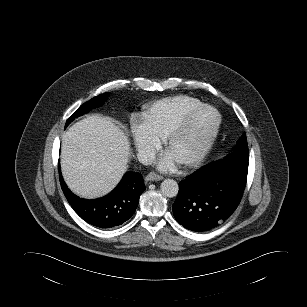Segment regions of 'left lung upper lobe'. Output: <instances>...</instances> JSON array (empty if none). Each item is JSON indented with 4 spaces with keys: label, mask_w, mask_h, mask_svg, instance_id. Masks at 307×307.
<instances>
[{
    "label": "left lung upper lobe",
    "mask_w": 307,
    "mask_h": 307,
    "mask_svg": "<svg viewBox=\"0 0 307 307\" xmlns=\"http://www.w3.org/2000/svg\"><path fill=\"white\" fill-rule=\"evenodd\" d=\"M225 159L249 161V152L246 134H243L236 144V148Z\"/></svg>",
    "instance_id": "left-lung-upper-lobe-1"
}]
</instances>
